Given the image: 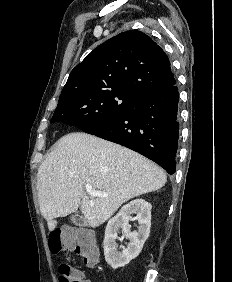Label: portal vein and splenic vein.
Listing matches in <instances>:
<instances>
[{
  "label": "portal vein and splenic vein",
  "instance_id": "1",
  "mask_svg": "<svg viewBox=\"0 0 232 282\" xmlns=\"http://www.w3.org/2000/svg\"><path fill=\"white\" fill-rule=\"evenodd\" d=\"M85 189H86L87 194H89L92 197H106V196H108V194L105 193V192L94 190L91 185H86Z\"/></svg>",
  "mask_w": 232,
  "mask_h": 282
}]
</instances>
